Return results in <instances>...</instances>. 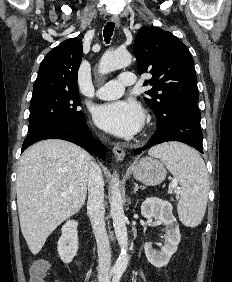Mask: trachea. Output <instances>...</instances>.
I'll return each instance as SVG.
<instances>
[{"label":"trachea","instance_id":"obj_1","mask_svg":"<svg viewBox=\"0 0 232 282\" xmlns=\"http://www.w3.org/2000/svg\"><path fill=\"white\" fill-rule=\"evenodd\" d=\"M114 27H115V24L113 22H108L105 25L104 31H103V36H104V39H105L106 43L110 42L111 37L113 35Z\"/></svg>","mask_w":232,"mask_h":282}]
</instances>
